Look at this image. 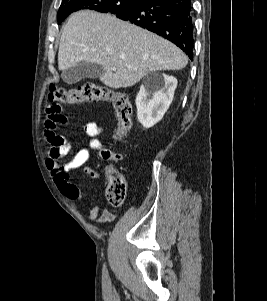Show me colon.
<instances>
[{"instance_id":"colon-1","label":"colon","mask_w":267,"mask_h":301,"mask_svg":"<svg viewBox=\"0 0 267 301\" xmlns=\"http://www.w3.org/2000/svg\"><path fill=\"white\" fill-rule=\"evenodd\" d=\"M49 100H56L61 103H83L89 101H106L113 105L118 126L114 134L116 142H122L131 127L132 107L128 96L125 93L113 90L106 86L87 83L77 88L66 90L51 84L49 87ZM105 160L119 161L121 154L114 148H107L102 151ZM105 179L106 198L112 206L123 204L126 196V181L123 175L116 170H106Z\"/></svg>"}]
</instances>
